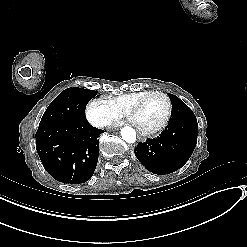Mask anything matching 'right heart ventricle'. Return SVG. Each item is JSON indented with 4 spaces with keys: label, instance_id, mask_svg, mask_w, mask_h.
Here are the masks:
<instances>
[{
    "label": "right heart ventricle",
    "instance_id": "right-heart-ventricle-1",
    "mask_svg": "<svg viewBox=\"0 0 247 247\" xmlns=\"http://www.w3.org/2000/svg\"><path fill=\"white\" fill-rule=\"evenodd\" d=\"M151 90H144L140 92H132L125 94L119 98L111 99L109 98L108 100L114 104V105H125V106H134V103L139 100H145L147 97L148 92Z\"/></svg>",
    "mask_w": 247,
    "mask_h": 247
}]
</instances>
